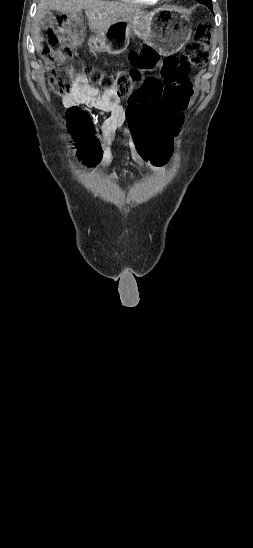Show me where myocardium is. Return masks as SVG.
Returning a JSON list of instances; mask_svg holds the SVG:
<instances>
[{
	"instance_id": "1",
	"label": "myocardium",
	"mask_w": 253,
	"mask_h": 548,
	"mask_svg": "<svg viewBox=\"0 0 253 548\" xmlns=\"http://www.w3.org/2000/svg\"><path fill=\"white\" fill-rule=\"evenodd\" d=\"M159 1H172V0H159Z\"/></svg>"
}]
</instances>
